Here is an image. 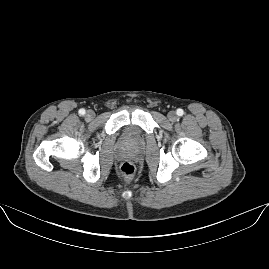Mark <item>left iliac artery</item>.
Instances as JSON below:
<instances>
[{"label": "left iliac artery", "mask_w": 269, "mask_h": 269, "mask_svg": "<svg viewBox=\"0 0 269 269\" xmlns=\"http://www.w3.org/2000/svg\"><path fill=\"white\" fill-rule=\"evenodd\" d=\"M184 114V111L182 109H177V115L182 116Z\"/></svg>", "instance_id": "44dca946"}]
</instances>
